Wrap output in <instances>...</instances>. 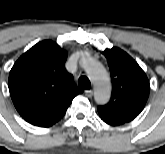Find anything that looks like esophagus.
Here are the masks:
<instances>
[{"label":"esophagus","mask_w":165,"mask_h":154,"mask_svg":"<svg viewBox=\"0 0 165 154\" xmlns=\"http://www.w3.org/2000/svg\"><path fill=\"white\" fill-rule=\"evenodd\" d=\"M85 96H87L88 98H91L93 96V91L92 90H86Z\"/></svg>","instance_id":"34e87169"}]
</instances>
